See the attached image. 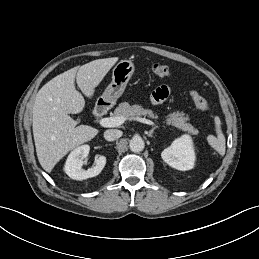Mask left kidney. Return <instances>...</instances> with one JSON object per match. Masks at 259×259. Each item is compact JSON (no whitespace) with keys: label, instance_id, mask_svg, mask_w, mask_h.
Returning a JSON list of instances; mask_svg holds the SVG:
<instances>
[{"label":"left kidney","instance_id":"obj_1","mask_svg":"<svg viewBox=\"0 0 259 259\" xmlns=\"http://www.w3.org/2000/svg\"><path fill=\"white\" fill-rule=\"evenodd\" d=\"M161 157L164 162L177 170L187 171L192 169L195 162V153L191 137L185 134L176 139L170 147L162 151Z\"/></svg>","mask_w":259,"mask_h":259}]
</instances>
